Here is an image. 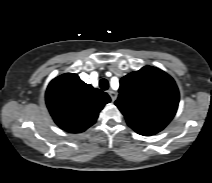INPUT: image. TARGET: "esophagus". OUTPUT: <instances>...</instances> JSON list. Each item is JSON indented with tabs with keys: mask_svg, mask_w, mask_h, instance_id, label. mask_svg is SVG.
Listing matches in <instances>:
<instances>
[{
	"mask_svg": "<svg viewBox=\"0 0 212 183\" xmlns=\"http://www.w3.org/2000/svg\"><path fill=\"white\" fill-rule=\"evenodd\" d=\"M108 94H109V96H110V98H111L112 101H115V100H116V98H117V93H116L115 91L109 90V91H108Z\"/></svg>",
	"mask_w": 212,
	"mask_h": 183,
	"instance_id": "esophagus-1",
	"label": "esophagus"
}]
</instances>
